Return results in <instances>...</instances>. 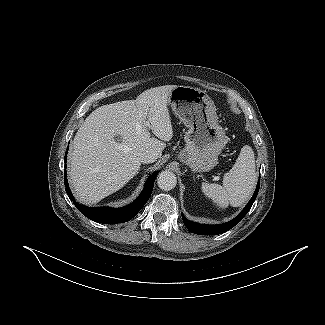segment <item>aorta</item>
I'll use <instances>...</instances> for the list:
<instances>
[{
	"instance_id": "aorta-1",
	"label": "aorta",
	"mask_w": 325,
	"mask_h": 325,
	"mask_svg": "<svg viewBox=\"0 0 325 325\" xmlns=\"http://www.w3.org/2000/svg\"><path fill=\"white\" fill-rule=\"evenodd\" d=\"M177 183L176 175L171 171H162L157 177V184L164 191L172 190Z\"/></svg>"
}]
</instances>
